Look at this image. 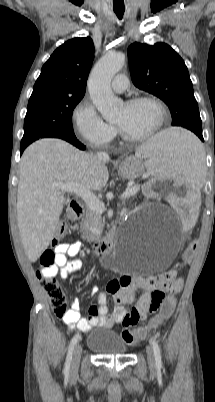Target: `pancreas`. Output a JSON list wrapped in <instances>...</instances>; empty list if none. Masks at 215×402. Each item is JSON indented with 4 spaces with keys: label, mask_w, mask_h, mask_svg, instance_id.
<instances>
[{
    "label": "pancreas",
    "mask_w": 215,
    "mask_h": 402,
    "mask_svg": "<svg viewBox=\"0 0 215 402\" xmlns=\"http://www.w3.org/2000/svg\"><path fill=\"white\" fill-rule=\"evenodd\" d=\"M137 186V185H136ZM103 229L101 214L89 207L86 210L85 218L81 221L82 239L88 242L98 240Z\"/></svg>",
    "instance_id": "pancreas-1"
}]
</instances>
